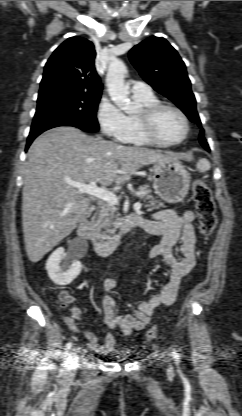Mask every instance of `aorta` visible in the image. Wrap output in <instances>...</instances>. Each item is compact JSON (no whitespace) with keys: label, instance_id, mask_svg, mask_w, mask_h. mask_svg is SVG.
<instances>
[{"label":"aorta","instance_id":"762f6f07","mask_svg":"<svg viewBox=\"0 0 242 416\" xmlns=\"http://www.w3.org/2000/svg\"><path fill=\"white\" fill-rule=\"evenodd\" d=\"M126 73L127 68L123 61H112L108 67L106 84L111 100L126 113H133L136 106L129 99V87L124 82Z\"/></svg>","mask_w":242,"mask_h":416}]
</instances>
